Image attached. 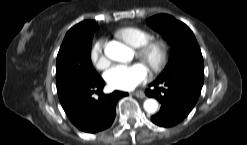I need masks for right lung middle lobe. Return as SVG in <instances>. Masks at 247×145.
I'll list each match as a JSON object with an SVG mask.
<instances>
[{"label":"right lung middle lobe","instance_id":"dd1d6c3e","mask_svg":"<svg viewBox=\"0 0 247 145\" xmlns=\"http://www.w3.org/2000/svg\"><path fill=\"white\" fill-rule=\"evenodd\" d=\"M93 32L94 30L67 32L57 55L58 90L75 82L92 81L100 77L90 58Z\"/></svg>","mask_w":247,"mask_h":145}]
</instances>
